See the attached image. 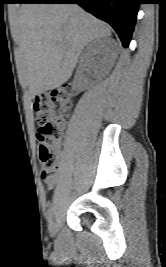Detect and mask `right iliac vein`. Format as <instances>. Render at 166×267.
<instances>
[{
  "label": "right iliac vein",
  "mask_w": 166,
  "mask_h": 267,
  "mask_svg": "<svg viewBox=\"0 0 166 267\" xmlns=\"http://www.w3.org/2000/svg\"><path fill=\"white\" fill-rule=\"evenodd\" d=\"M58 231V225L55 221H52L50 224H49V232H50V235L52 237H54L56 235Z\"/></svg>",
  "instance_id": "right-iliac-vein-1"
}]
</instances>
